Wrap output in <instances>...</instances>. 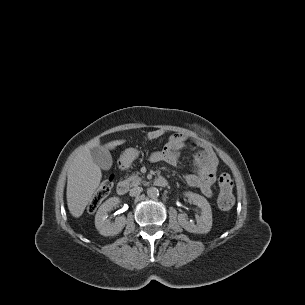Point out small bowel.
<instances>
[{
	"label": "small bowel",
	"instance_id": "small-bowel-1",
	"mask_svg": "<svg viewBox=\"0 0 305 305\" xmlns=\"http://www.w3.org/2000/svg\"><path fill=\"white\" fill-rule=\"evenodd\" d=\"M187 146L194 149L196 155L191 165V171L184 175L185 180L190 186L200 189L206 197H211L218 169V159L215 153L200 141L186 134L174 133L161 150L154 151L150 155V161L177 166L180 162V150Z\"/></svg>",
	"mask_w": 305,
	"mask_h": 305
}]
</instances>
